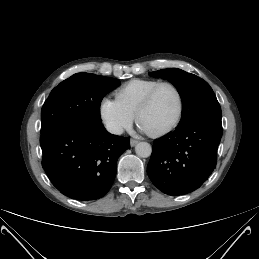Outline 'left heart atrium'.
<instances>
[{
    "label": "left heart atrium",
    "instance_id": "left-heart-atrium-1",
    "mask_svg": "<svg viewBox=\"0 0 259 259\" xmlns=\"http://www.w3.org/2000/svg\"><path fill=\"white\" fill-rule=\"evenodd\" d=\"M141 129H142L143 131H146V132H147V130H146L143 126H141Z\"/></svg>",
    "mask_w": 259,
    "mask_h": 259
}]
</instances>
